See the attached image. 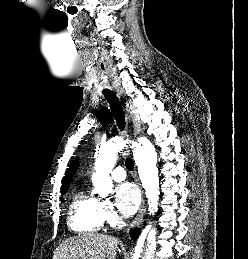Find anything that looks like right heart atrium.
<instances>
[{"label":"right heart atrium","mask_w":248,"mask_h":259,"mask_svg":"<svg viewBox=\"0 0 248 259\" xmlns=\"http://www.w3.org/2000/svg\"><path fill=\"white\" fill-rule=\"evenodd\" d=\"M101 213L103 221L110 224L115 222L116 214L113 205L109 201H101Z\"/></svg>","instance_id":"obj_1"}]
</instances>
